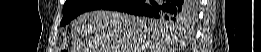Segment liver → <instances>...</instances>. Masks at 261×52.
I'll list each match as a JSON object with an SVG mask.
<instances>
[{"mask_svg":"<svg viewBox=\"0 0 261 52\" xmlns=\"http://www.w3.org/2000/svg\"><path fill=\"white\" fill-rule=\"evenodd\" d=\"M166 21L97 10L72 24V52H177L179 34Z\"/></svg>","mask_w":261,"mask_h":52,"instance_id":"liver-1","label":"liver"}]
</instances>
